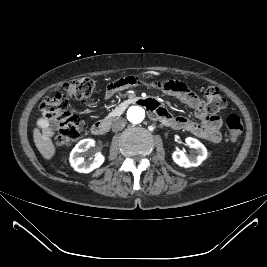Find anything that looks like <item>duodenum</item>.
<instances>
[{
  "label": "duodenum",
  "mask_w": 267,
  "mask_h": 267,
  "mask_svg": "<svg viewBox=\"0 0 267 267\" xmlns=\"http://www.w3.org/2000/svg\"><path fill=\"white\" fill-rule=\"evenodd\" d=\"M142 104L147 106L149 109H154L156 103L153 100H140ZM110 129V123L108 121H99L92 125L91 132L93 135L102 136L105 135Z\"/></svg>",
  "instance_id": "duodenum-1"
}]
</instances>
